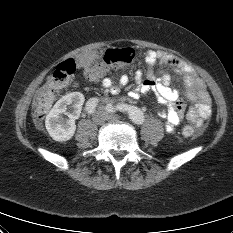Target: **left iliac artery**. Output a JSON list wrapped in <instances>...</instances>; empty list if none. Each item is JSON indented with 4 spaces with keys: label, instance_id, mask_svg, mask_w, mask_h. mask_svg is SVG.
<instances>
[{
    "label": "left iliac artery",
    "instance_id": "obj_1",
    "mask_svg": "<svg viewBox=\"0 0 233 233\" xmlns=\"http://www.w3.org/2000/svg\"><path fill=\"white\" fill-rule=\"evenodd\" d=\"M107 110L109 112H127L130 119L136 123V124H142L144 122V115L143 113L141 112L140 109H138L137 107L135 106H131V105H128V104H117V105H111V104H108L107 105Z\"/></svg>",
    "mask_w": 233,
    "mask_h": 233
}]
</instances>
